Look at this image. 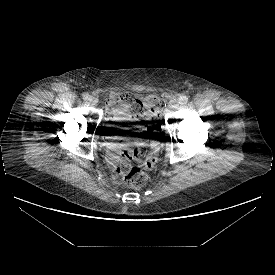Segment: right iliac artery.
I'll return each mask as SVG.
<instances>
[{
	"label": "right iliac artery",
	"instance_id": "obj_1",
	"mask_svg": "<svg viewBox=\"0 0 275 275\" xmlns=\"http://www.w3.org/2000/svg\"><path fill=\"white\" fill-rule=\"evenodd\" d=\"M82 97H83L84 100H88L90 95L85 92V93L82 94Z\"/></svg>",
	"mask_w": 275,
	"mask_h": 275
}]
</instances>
